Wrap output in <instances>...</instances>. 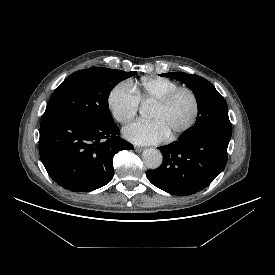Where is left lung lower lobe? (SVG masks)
I'll list each match as a JSON object with an SVG mask.
<instances>
[{
  "mask_svg": "<svg viewBox=\"0 0 275 275\" xmlns=\"http://www.w3.org/2000/svg\"><path fill=\"white\" fill-rule=\"evenodd\" d=\"M230 138L218 136L184 137L160 147L163 163L148 170V180L173 195H191L207 187L224 169Z\"/></svg>",
  "mask_w": 275,
  "mask_h": 275,
  "instance_id": "left-lung-lower-lobe-1",
  "label": "left lung lower lobe"
}]
</instances>
